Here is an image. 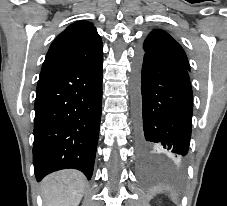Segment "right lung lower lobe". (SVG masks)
<instances>
[{
	"mask_svg": "<svg viewBox=\"0 0 227 206\" xmlns=\"http://www.w3.org/2000/svg\"><path fill=\"white\" fill-rule=\"evenodd\" d=\"M103 58L40 77L33 164L37 181L65 168L93 173L102 109Z\"/></svg>",
	"mask_w": 227,
	"mask_h": 206,
	"instance_id": "right-lung-lower-lobe-1",
	"label": "right lung lower lobe"
}]
</instances>
